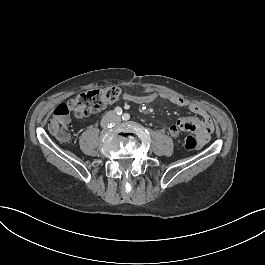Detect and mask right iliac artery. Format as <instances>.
I'll list each match as a JSON object with an SVG mask.
<instances>
[{
    "label": "right iliac artery",
    "instance_id": "82829eb1",
    "mask_svg": "<svg viewBox=\"0 0 265 265\" xmlns=\"http://www.w3.org/2000/svg\"><path fill=\"white\" fill-rule=\"evenodd\" d=\"M114 111L117 115H121L123 113V110L120 107H116Z\"/></svg>",
    "mask_w": 265,
    "mask_h": 265
}]
</instances>
